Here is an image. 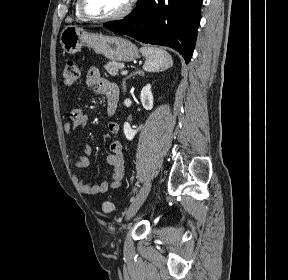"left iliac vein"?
<instances>
[{
	"mask_svg": "<svg viewBox=\"0 0 288 280\" xmlns=\"http://www.w3.org/2000/svg\"><path fill=\"white\" fill-rule=\"evenodd\" d=\"M150 189H151V183L150 182L144 183L140 191V196H137L136 200L132 201V203L130 204L127 210V213H126L127 220H130L137 213V211L139 210V208L141 207V205L147 198Z\"/></svg>",
	"mask_w": 288,
	"mask_h": 280,
	"instance_id": "left-iliac-vein-1",
	"label": "left iliac vein"
}]
</instances>
